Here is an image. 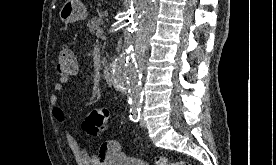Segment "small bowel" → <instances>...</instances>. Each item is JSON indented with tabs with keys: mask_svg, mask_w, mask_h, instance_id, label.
Segmentation results:
<instances>
[{
	"mask_svg": "<svg viewBox=\"0 0 276 165\" xmlns=\"http://www.w3.org/2000/svg\"><path fill=\"white\" fill-rule=\"evenodd\" d=\"M68 82L69 78L61 77L59 82L53 84L54 93L50 96L53 116L57 122L64 126L66 139L77 165H108L119 151V145L116 142H114L117 145L116 150L104 153L99 151L97 154L91 155L78 143L71 131L65 125L66 115L56 93L62 91L65 84Z\"/></svg>",
	"mask_w": 276,
	"mask_h": 165,
	"instance_id": "small-bowel-1",
	"label": "small bowel"
}]
</instances>
